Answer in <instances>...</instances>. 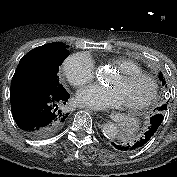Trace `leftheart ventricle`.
Listing matches in <instances>:
<instances>
[{"label": "left heart ventricle", "instance_id": "obj_1", "mask_svg": "<svg viewBox=\"0 0 177 177\" xmlns=\"http://www.w3.org/2000/svg\"><path fill=\"white\" fill-rule=\"evenodd\" d=\"M110 87L118 90L124 104L137 103L145 99L150 92L148 82L140 79L123 80L119 75L111 81Z\"/></svg>", "mask_w": 177, "mask_h": 177}]
</instances>
